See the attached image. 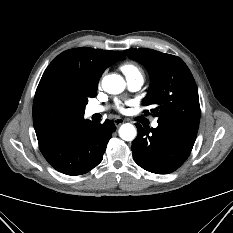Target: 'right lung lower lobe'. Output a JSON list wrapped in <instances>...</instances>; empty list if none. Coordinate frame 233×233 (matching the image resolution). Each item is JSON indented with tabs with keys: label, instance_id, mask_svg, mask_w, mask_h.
<instances>
[{
	"label": "right lung lower lobe",
	"instance_id": "98d812e1",
	"mask_svg": "<svg viewBox=\"0 0 233 233\" xmlns=\"http://www.w3.org/2000/svg\"><path fill=\"white\" fill-rule=\"evenodd\" d=\"M115 129L114 123L108 119L103 124L82 120L58 135L39 142V148L57 171L67 175H81L102 161Z\"/></svg>",
	"mask_w": 233,
	"mask_h": 233
}]
</instances>
